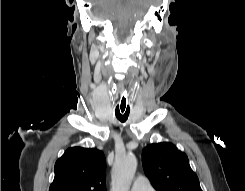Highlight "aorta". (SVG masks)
Instances as JSON below:
<instances>
[{"mask_svg":"<svg viewBox=\"0 0 245 191\" xmlns=\"http://www.w3.org/2000/svg\"><path fill=\"white\" fill-rule=\"evenodd\" d=\"M137 159L132 154L116 158L112 169V191H130Z\"/></svg>","mask_w":245,"mask_h":191,"instance_id":"obj_1","label":"aorta"}]
</instances>
